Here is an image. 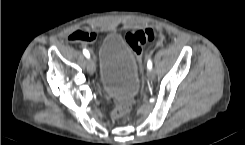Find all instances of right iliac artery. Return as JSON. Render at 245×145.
Returning <instances> with one entry per match:
<instances>
[{
	"label": "right iliac artery",
	"mask_w": 245,
	"mask_h": 145,
	"mask_svg": "<svg viewBox=\"0 0 245 145\" xmlns=\"http://www.w3.org/2000/svg\"><path fill=\"white\" fill-rule=\"evenodd\" d=\"M83 53H84V55H85L87 58L90 57V54H89L88 50L84 49V50H83Z\"/></svg>",
	"instance_id": "right-iliac-artery-1"
}]
</instances>
